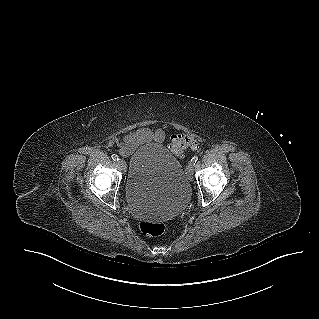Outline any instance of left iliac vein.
I'll list each match as a JSON object with an SVG mask.
<instances>
[{
    "instance_id": "1",
    "label": "left iliac vein",
    "mask_w": 319,
    "mask_h": 319,
    "mask_svg": "<svg viewBox=\"0 0 319 319\" xmlns=\"http://www.w3.org/2000/svg\"><path fill=\"white\" fill-rule=\"evenodd\" d=\"M194 165L190 162L186 167V174L189 181L193 180Z\"/></svg>"
}]
</instances>
